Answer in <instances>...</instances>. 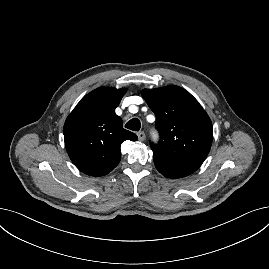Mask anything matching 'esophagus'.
Instances as JSON below:
<instances>
[{"label": "esophagus", "mask_w": 269, "mask_h": 269, "mask_svg": "<svg viewBox=\"0 0 269 269\" xmlns=\"http://www.w3.org/2000/svg\"><path fill=\"white\" fill-rule=\"evenodd\" d=\"M138 138L140 141H144L145 140V133L143 131L138 132Z\"/></svg>", "instance_id": "34e87169"}]
</instances>
